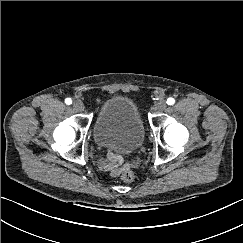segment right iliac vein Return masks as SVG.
<instances>
[{
	"instance_id": "1",
	"label": "right iliac vein",
	"mask_w": 243,
	"mask_h": 243,
	"mask_svg": "<svg viewBox=\"0 0 243 243\" xmlns=\"http://www.w3.org/2000/svg\"><path fill=\"white\" fill-rule=\"evenodd\" d=\"M73 108L76 110V111H83L84 110V104L82 101L80 100H76L73 102Z\"/></svg>"
}]
</instances>
